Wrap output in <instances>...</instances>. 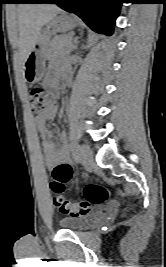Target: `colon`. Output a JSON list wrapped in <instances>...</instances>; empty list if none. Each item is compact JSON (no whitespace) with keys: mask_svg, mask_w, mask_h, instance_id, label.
<instances>
[{"mask_svg":"<svg viewBox=\"0 0 166 267\" xmlns=\"http://www.w3.org/2000/svg\"><path fill=\"white\" fill-rule=\"evenodd\" d=\"M54 93L46 92L40 87H34L29 92V99L32 111L36 114L50 109L54 101ZM53 181L50 185L54 194V205L65 215L82 216L90 212L92 205L105 202L110 193L104 186L91 183L85 187V201L72 202L61 195L64 184L72 177V170L66 167H57L53 170Z\"/></svg>","mask_w":166,"mask_h":267,"instance_id":"5ec220e1","label":"colon"}]
</instances>
